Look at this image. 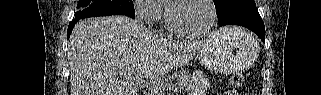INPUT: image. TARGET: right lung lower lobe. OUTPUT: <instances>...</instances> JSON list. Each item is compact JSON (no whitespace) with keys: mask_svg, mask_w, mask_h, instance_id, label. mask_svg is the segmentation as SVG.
<instances>
[{"mask_svg":"<svg viewBox=\"0 0 321 95\" xmlns=\"http://www.w3.org/2000/svg\"><path fill=\"white\" fill-rule=\"evenodd\" d=\"M78 21V19H74L72 22H70L69 26H68V31H67V38L70 37V34L72 32L73 27L75 26L76 22Z\"/></svg>","mask_w":321,"mask_h":95,"instance_id":"98d812e1","label":"right lung lower lobe"}]
</instances>
